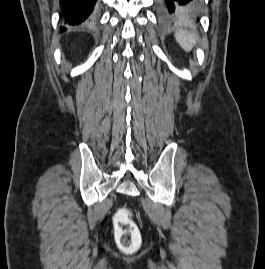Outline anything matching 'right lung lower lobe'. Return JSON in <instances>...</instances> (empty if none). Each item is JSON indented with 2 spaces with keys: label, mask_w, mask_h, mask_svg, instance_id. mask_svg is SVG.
Wrapping results in <instances>:
<instances>
[{
  "label": "right lung lower lobe",
  "mask_w": 265,
  "mask_h": 269,
  "mask_svg": "<svg viewBox=\"0 0 265 269\" xmlns=\"http://www.w3.org/2000/svg\"><path fill=\"white\" fill-rule=\"evenodd\" d=\"M97 0H60L62 15L68 25H79L88 20ZM65 27H62V31Z\"/></svg>",
  "instance_id": "right-lung-lower-lobe-1"
}]
</instances>
